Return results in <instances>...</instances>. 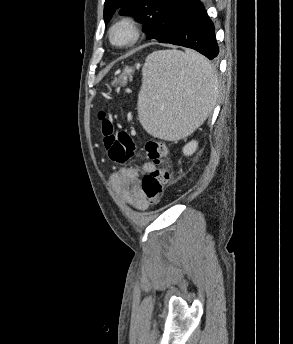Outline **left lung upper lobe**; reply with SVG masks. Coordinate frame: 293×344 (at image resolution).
I'll use <instances>...</instances> for the list:
<instances>
[{"mask_svg": "<svg viewBox=\"0 0 293 344\" xmlns=\"http://www.w3.org/2000/svg\"><path fill=\"white\" fill-rule=\"evenodd\" d=\"M192 0H106L104 21L107 24L119 10L121 15L134 16L144 26L147 39H164L177 25Z\"/></svg>", "mask_w": 293, "mask_h": 344, "instance_id": "obj_1", "label": "left lung upper lobe"}]
</instances>
